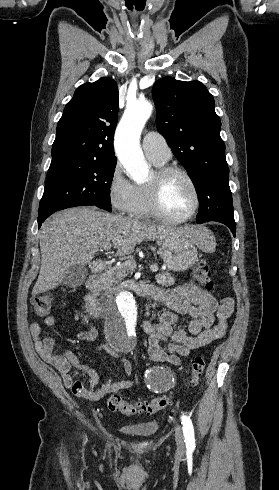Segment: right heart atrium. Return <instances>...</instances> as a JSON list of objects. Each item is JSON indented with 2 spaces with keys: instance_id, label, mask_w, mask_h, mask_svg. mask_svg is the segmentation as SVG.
I'll list each match as a JSON object with an SVG mask.
<instances>
[{
  "instance_id": "1",
  "label": "right heart atrium",
  "mask_w": 279,
  "mask_h": 490,
  "mask_svg": "<svg viewBox=\"0 0 279 490\" xmlns=\"http://www.w3.org/2000/svg\"><path fill=\"white\" fill-rule=\"evenodd\" d=\"M108 200L112 210L119 216H134L140 206L137 186L125 175L117 161L107 181Z\"/></svg>"
}]
</instances>
